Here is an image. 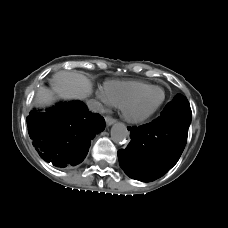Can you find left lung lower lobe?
I'll return each mask as SVG.
<instances>
[{"label":"left lung lower lobe","mask_w":228,"mask_h":228,"mask_svg":"<svg viewBox=\"0 0 228 228\" xmlns=\"http://www.w3.org/2000/svg\"><path fill=\"white\" fill-rule=\"evenodd\" d=\"M191 115L162 112L151 123L128 127L131 142L118 151L121 168L136 180H155L179 160L187 142Z\"/></svg>","instance_id":"1"}]
</instances>
